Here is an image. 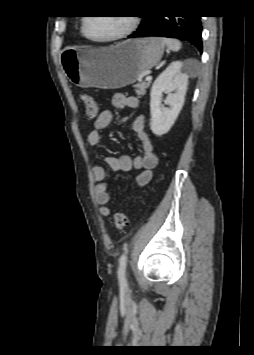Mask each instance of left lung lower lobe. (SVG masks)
<instances>
[{"label": "left lung lower lobe", "mask_w": 254, "mask_h": 355, "mask_svg": "<svg viewBox=\"0 0 254 355\" xmlns=\"http://www.w3.org/2000/svg\"><path fill=\"white\" fill-rule=\"evenodd\" d=\"M143 18L138 30L128 38L141 36L182 38L191 42L202 53L201 16L144 15Z\"/></svg>", "instance_id": "left-lung-lower-lobe-1"}]
</instances>
